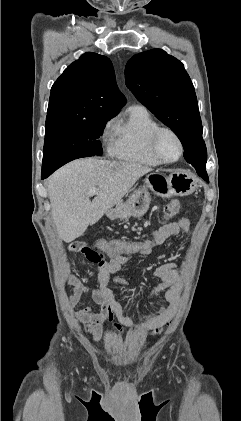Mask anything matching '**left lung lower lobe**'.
<instances>
[{"label":"left lung lower lobe","instance_id":"left-lung-lower-lobe-1","mask_svg":"<svg viewBox=\"0 0 241 421\" xmlns=\"http://www.w3.org/2000/svg\"><path fill=\"white\" fill-rule=\"evenodd\" d=\"M188 163H190L196 169V171H197V173L200 177H202L207 182L209 181L206 170H205V167L199 166L197 164H192L190 161Z\"/></svg>","mask_w":241,"mask_h":421}]
</instances>
